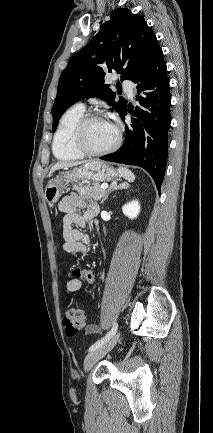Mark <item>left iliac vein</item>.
Segmentation results:
<instances>
[{"label":"left iliac vein","mask_w":213,"mask_h":433,"mask_svg":"<svg viewBox=\"0 0 213 433\" xmlns=\"http://www.w3.org/2000/svg\"><path fill=\"white\" fill-rule=\"evenodd\" d=\"M119 339V333L112 336L106 343L102 346L98 347L95 350H92L87 354L84 360V370L85 372L89 371L97 361H99L102 357H104L109 351L113 349Z\"/></svg>","instance_id":"obj_1"}]
</instances>
